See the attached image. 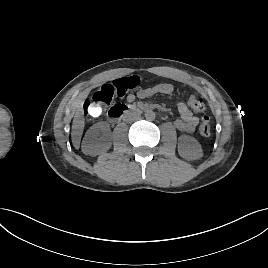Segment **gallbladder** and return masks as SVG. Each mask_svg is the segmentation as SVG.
I'll return each instance as SVG.
<instances>
[{
	"instance_id": "obj_1",
	"label": "gallbladder",
	"mask_w": 268,
	"mask_h": 268,
	"mask_svg": "<svg viewBox=\"0 0 268 268\" xmlns=\"http://www.w3.org/2000/svg\"><path fill=\"white\" fill-rule=\"evenodd\" d=\"M89 113L93 117H100L104 113V106L100 102H93L89 106Z\"/></svg>"
}]
</instances>
